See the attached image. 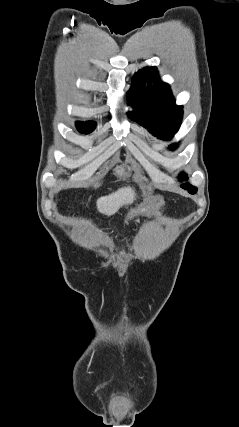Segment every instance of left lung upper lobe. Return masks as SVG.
<instances>
[{
  "label": "left lung upper lobe",
  "instance_id": "1",
  "mask_svg": "<svg viewBox=\"0 0 239 427\" xmlns=\"http://www.w3.org/2000/svg\"><path fill=\"white\" fill-rule=\"evenodd\" d=\"M155 67L143 68L136 73L132 88L128 91V103L134 107L129 118L147 128L154 136L168 140L178 131L183 115L182 106H176L170 87L160 83ZM148 82L147 88L145 84ZM155 83L154 85H151ZM173 144L170 148H176ZM180 178L187 180L186 174ZM181 187L188 192L197 191L190 184Z\"/></svg>",
  "mask_w": 239,
  "mask_h": 427
}]
</instances>
